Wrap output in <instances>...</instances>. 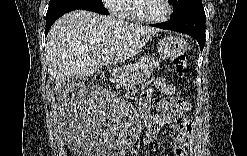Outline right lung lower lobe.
Here are the masks:
<instances>
[{
    "instance_id": "1",
    "label": "right lung lower lobe",
    "mask_w": 247,
    "mask_h": 156,
    "mask_svg": "<svg viewBox=\"0 0 247 156\" xmlns=\"http://www.w3.org/2000/svg\"><path fill=\"white\" fill-rule=\"evenodd\" d=\"M77 9H82V10H88L92 12H97L100 14H108V11L104 8V6H83V7H75V6H64L58 9H55L53 11L47 12L46 14V35L52 26L53 22H55L60 16L63 14L77 10Z\"/></svg>"
}]
</instances>
